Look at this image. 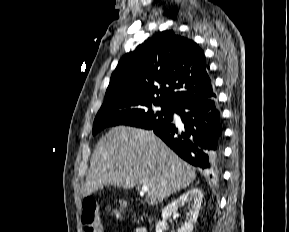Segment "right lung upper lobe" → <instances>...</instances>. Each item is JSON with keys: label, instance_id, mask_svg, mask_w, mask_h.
<instances>
[{"label": "right lung upper lobe", "instance_id": "1", "mask_svg": "<svg viewBox=\"0 0 289 232\" xmlns=\"http://www.w3.org/2000/svg\"><path fill=\"white\" fill-rule=\"evenodd\" d=\"M208 68L195 42L173 30L162 31L121 58L105 99L134 97L176 108L187 101L212 98L216 94Z\"/></svg>", "mask_w": 289, "mask_h": 232}]
</instances>
